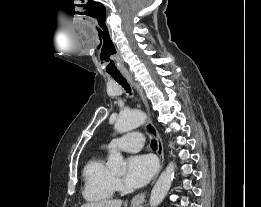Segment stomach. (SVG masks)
<instances>
[{
	"mask_svg": "<svg viewBox=\"0 0 261 207\" xmlns=\"http://www.w3.org/2000/svg\"><path fill=\"white\" fill-rule=\"evenodd\" d=\"M133 207H141V206L138 205V206H133Z\"/></svg>",
	"mask_w": 261,
	"mask_h": 207,
	"instance_id": "0dacf381",
	"label": "stomach"
}]
</instances>
